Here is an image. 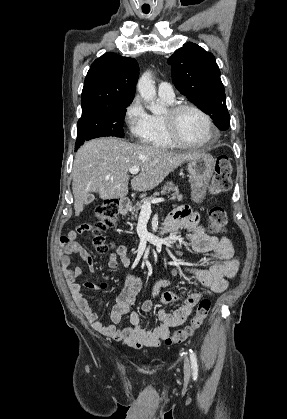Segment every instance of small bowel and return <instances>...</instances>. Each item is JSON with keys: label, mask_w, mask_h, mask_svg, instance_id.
<instances>
[{"label": "small bowel", "mask_w": 287, "mask_h": 419, "mask_svg": "<svg viewBox=\"0 0 287 419\" xmlns=\"http://www.w3.org/2000/svg\"><path fill=\"white\" fill-rule=\"evenodd\" d=\"M166 228L168 230L187 228L192 250L197 253L213 252L214 258L213 264L208 269H188V273L206 287L205 290H191L183 298H180L173 292L160 294L161 288L170 283L168 278H160L155 282L152 288V299L144 301L141 305L143 312H151L154 309L155 300H158L160 304L180 302L172 311L159 309L158 317L161 324L152 330L144 327L138 312L130 313L129 326L116 327L122 316L128 313L131 306L134 305L142 287L140 278L133 274L127 275L124 287L111 310L110 319L112 324H105L99 320L97 313L92 310L87 298L82 293V288L105 291L108 284L106 282L79 284L76 281L86 271L93 272L95 268L91 255L77 241L78 235L87 230L88 226L82 225L60 238L59 260L74 301L81 312L97 331L136 349L159 346L162 340L170 336L172 328L182 325L187 320L195 305L203 297L224 291L228 286V279L233 278L239 269V259L231 240L226 236L217 238L208 233L205 228L200 226L199 215L189 207L180 206L176 208L168 216ZM109 246L112 249L108 258L109 268L116 269L120 262L124 268L129 269L131 262L126 247L116 246L113 242H110ZM72 255H77L84 261L86 269L81 267L70 269Z\"/></svg>", "instance_id": "c3829d8e"}]
</instances>
